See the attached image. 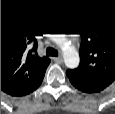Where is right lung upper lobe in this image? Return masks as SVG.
<instances>
[{"label": "right lung upper lobe", "mask_w": 115, "mask_h": 114, "mask_svg": "<svg viewBox=\"0 0 115 114\" xmlns=\"http://www.w3.org/2000/svg\"><path fill=\"white\" fill-rule=\"evenodd\" d=\"M37 41L24 26L1 23V90L23 96L37 89L50 59L39 57Z\"/></svg>", "instance_id": "right-lung-upper-lobe-1"}]
</instances>
